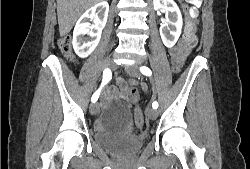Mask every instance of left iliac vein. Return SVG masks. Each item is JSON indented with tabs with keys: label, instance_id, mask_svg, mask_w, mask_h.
Wrapping results in <instances>:
<instances>
[{
	"label": "left iliac vein",
	"instance_id": "obj_1",
	"mask_svg": "<svg viewBox=\"0 0 250 169\" xmlns=\"http://www.w3.org/2000/svg\"><path fill=\"white\" fill-rule=\"evenodd\" d=\"M126 72H127L130 76L136 77V78H139L140 75H141L136 65H131V66L127 67ZM146 112H147L148 117H149L151 120H154V119L157 118V111H156L154 108H148V109L146 110Z\"/></svg>",
	"mask_w": 250,
	"mask_h": 169
}]
</instances>
